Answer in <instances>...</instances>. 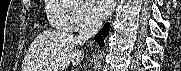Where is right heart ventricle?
Returning <instances> with one entry per match:
<instances>
[{"mask_svg": "<svg viewBox=\"0 0 181 71\" xmlns=\"http://www.w3.org/2000/svg\"><path fill=\"white\" fill-rule=\"evenodd\" d=\"M46 11L53 27L60 30H67L64 16L66 8L64 5L56 1H49Z\"/></svg>", "mask_w": 181, "mask_h": 71, "instance_id": "1", "label": "right heart ventricle"}]
</instances>
